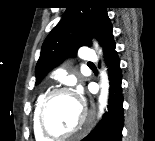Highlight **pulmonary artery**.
I'll use <instances>...</instances> for the list:
<instances>
[{
	"label": "pulmonary artery",
	"instance_id": "e3ab8cb5",
	"mask_svg": "<svg viewBox=\"0 0 155 141\" xmlns=\"http://www.w3.org/2000/svg\"><path fill=\"white\" fill-rule=\"evenodd\" d=\"M80 57L81 59L88 63V64H93L96 62V57L95 55L92 53V51L87 48V47H83L80 50Z\"/></svg>",
	"mask_w": 155,
	"mask_h": 141
}]
</instances>
